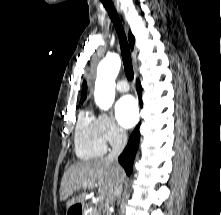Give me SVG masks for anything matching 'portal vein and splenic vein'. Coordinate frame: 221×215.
<instances>
[{"label": "portal vein and splenic vein", "instance_id": "18ae733b", "mask_svg": "<svg viewBox=\"0 0 221 215\" xmlns=\"http://www.w3.org/2000/svg\"><path fill=\"white\" fill-rule=\"evenodd\" d=\"M87 186H89L90 188H92V187H93V185H92V184H88ZM99 199H103V197H99Z\"/></svg>", "mask_w": 221, "mask_h": 215}]
</instances>
